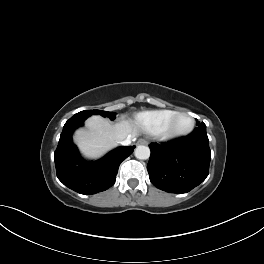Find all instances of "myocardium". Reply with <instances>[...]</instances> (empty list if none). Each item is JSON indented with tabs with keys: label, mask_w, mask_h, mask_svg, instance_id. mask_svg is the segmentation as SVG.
<instances>
[{
	"label": "myocardium",
	"mask_w": 264,
	"mask_h": 264,
	"mask_svg": "<svg viewBox=\"0 0 264 264\" xmlns=\"http://www.w3.org/2000/svg\"><path fill=\"white\" fill-rule=\"evenodd\" d=\"M180 116H186L190 121V124L186 129L177 130L175 128V121ZM194 126H195V120L189 113L176 112L169 120L165 128L162 130V132H160V136L165 140H174V139L182 138L189 135L193 131Z\"/></svg>",
	"instance_id": "myocardium-1"
}]
</instances>
